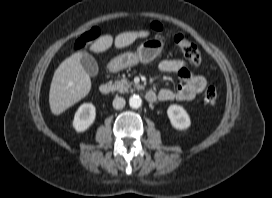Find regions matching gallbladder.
<instances>
[{
    "instance_id": "obj_1",
    "label": "gallbladder",
    "mask_w": 272,
    "mask_h": 198,
    "mask_svg": "<svg viewBox=\"0 0 272 198\" xmlns=\"http://www.w3.org/2000/svg\"><path fill=\"white\" fill-rule=\"evenodd\" d=\"M81 65L83 66L84 70L90 76H96L98 74L99 68L96 60L94 57L89 55L88 53H83L80 59Z\"/></svg>"
}]
</instances>
